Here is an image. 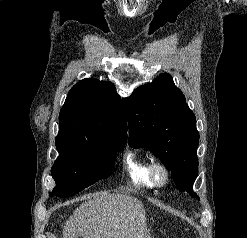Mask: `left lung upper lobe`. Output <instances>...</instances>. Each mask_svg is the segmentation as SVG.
<instances>
[{
	"label": "left lung upper lobe",
	"instance_id": "1",
	"mask_svg": "<svg viewBox=\"0 0 247 238\" xmlns=\"http://www.w3.org/2000/svg\"><path fill=\"white\" fill-rule=\"evenodd\" d=\"M130 144L148 147L171 171L180 191L196 197L199 134L196 119L172 77L163 73L123 100Z\"/></svg>",
	"mask_w": 247,
	"mask_h": 238
}]
</instances>
